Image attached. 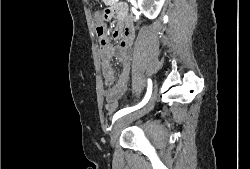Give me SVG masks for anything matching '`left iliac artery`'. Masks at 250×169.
Listing matches in <instances>:
<instances>
[{"instance_id": "left-iliac-artery-1", "label": "left iliac artery", "mask_w": 250, "mask_h": 169, "mask_svg": "<svg viewBox=\"0 0 250 169\" xmlns=\"http://www.w3.org/2000/svg\"><path fill=\"white\" fill-rule=\"evenodd\" d=\"M151 94H152V81L150 79H148V88H147V93L144 97V99L142 100L141 103H139L137 106H134V107H129V108H124V109H121L119 110L114 116H113V122L115 120H117L118 118L132 112V111H135L141 107H143L150 99L151 97Z\"/></svg>"}]
</instances>
